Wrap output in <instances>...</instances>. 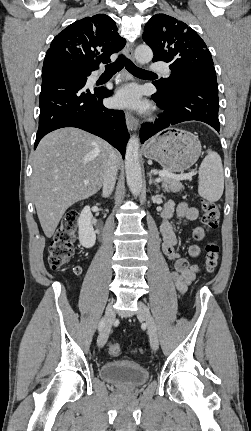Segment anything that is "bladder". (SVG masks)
<instances>
[{
  "label": "bladder",
  "mask_w": 251,
  "mask_h": 431,
  "mask_svg": "<svg viewBox=\"0 0 251 431\" xmlns=\"http://www.w3.org/2000/svg\"><path fill=\"white\" fill-rule=\"evenodd\" d=\"M100 377L119 388L132 389L146 383L149 371L138 363L128 360H114L99 368Z\"/></svg>",
  "instance_id": "1"
}]
</instances>
